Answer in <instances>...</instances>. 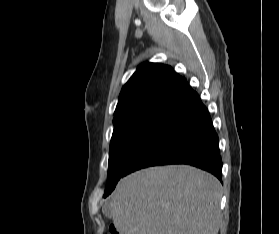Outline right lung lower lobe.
<instances>
[{
	"label": "right lung lower lobe",
	"instance_id": "98d812e1",
	"mask_svg": "<svg viewBox=\"0 0 279 234\" xmlns=\"http://www.w3.org/2000/svg\"><path fill=\"white\" fill-rule=\"evenodd\" d=\"M168 164L192 165L222 180L218 136L207 108L192 89L170 108L143 141L124 173Z\"/></svg>",
	"mask_w": 279,
	"mask_h": 234
}]
</instances>
